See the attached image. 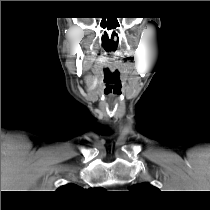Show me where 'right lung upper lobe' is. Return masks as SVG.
Here are the masks:
<instances>
[{
    "label": "right lung upper lobe",
    "mask_w": 210,
    "mask_h": 210,
    "mask_svg": "<svg viewBox=\"0 0 210 210\" xmlns=\"http://www.w3.org/2000/svg\"><path fill=\"white\" fill-rule=\"evenodd\" d=\"M80 187L74 185V184H68V185H65V186H62L58 189V191H61V192H70L72 190H77L79 189Z\"/></svg>",
    "instance_id": "cb5924a9"
}]
</instances>
